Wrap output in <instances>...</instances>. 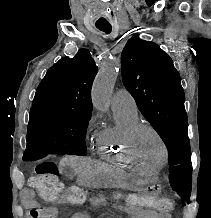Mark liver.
I'll return each instance as SVG.
<instances>
[{"mask_svg": "<svg viewBox=\"0 0 211 218\" xmlns=\"http://www.w3.org/2000/svg\"><path fill=\"white\" fill-rule=\"evenodd\" d=\"M62 162L63 164H67V166H70L73 172H75V174H78V176H86L90 168H92V162L91 160H88V158H77V156H67V158H63Z\"/></svg>", "mask_w": 211, "mask_h": 218, "instance_id": "liver-1", "label": "liver"}]
</instances>
